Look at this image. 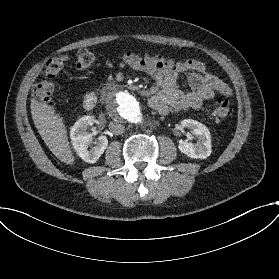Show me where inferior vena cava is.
I'll return each instance as SVG.
<instances>
[{
  "instance_id": "1",
  "label": "inferior vena cava",
  "mask_w": 279,
  "mask_h": 279,
  "mask_svg": "<svg viewBox=\"0 0 279 279\" xmlns=\"http://www.w3.org/2000/svg\"><path fill=\"white\" fill-rule=\"evenodd\" d=\"M108 127H109L110 131L115 135L122 134V133H124V130H125L124 124L116 122V121L109 122Z\"/></svg>"
}]
</instances>
